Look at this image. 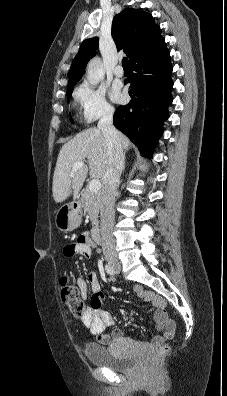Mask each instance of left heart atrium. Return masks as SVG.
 <instances>
[{
    "mask_svg": "<svg viewBox=\"0 0 227 396\" xmlns=\"http://www.w3.org/2000/svg\"><path fill=\"white\" fill-rule=\"evenodd\" d=\"M112 99L114 101H121L122 100V94L119 92L118 89H114L112 92Z\"/></svg>",
    "mask_w": 227,
    "mask_h": 396,
    "instance_id": "obj_1",
    "label": "left heart atrium"
}]
</instances>
